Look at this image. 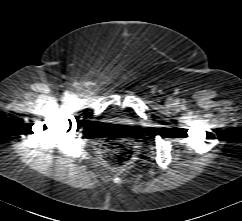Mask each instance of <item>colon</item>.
Wrapping results in <instances>:
<instances>
[{"mask_svg":"<svg viewBox=\"0 0 242 221\" xmlns=\"http://www.w3.org/2000/svg\"><path fill=\"white\" fill-rule=\"evenodd\" d=\"M103 156L106 163L113 168L126 166L133 158L134 146L125 140H110L103 144Z\"/></svg>","mask_w":242,"mask_h":221,"instance_id":"1","label":"colon"}]
</instances>
